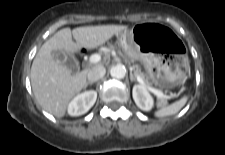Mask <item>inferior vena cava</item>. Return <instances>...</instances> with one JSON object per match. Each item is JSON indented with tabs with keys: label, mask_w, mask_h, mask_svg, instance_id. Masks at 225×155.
<instances>
[{
	"label": "inferior vena cava",
	"mask_w": 225,
	"mask_h": 155,
	"mask_svg": "<svg viewBox=\"0 0 225 155\" xmlns=\"http://www.w3.org/2000/svg\"><path fill=\"white\" fill-rule=\"evenodd\" d=\"M105 73H106L105 67L102 65H97L89 70L87 74V78L89 82H95L101 79L102 77H104Z\"/></svg>",
	"instance_id": "obj_1"
}]
</instances>
